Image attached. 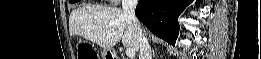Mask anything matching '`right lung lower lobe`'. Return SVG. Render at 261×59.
<instances>
[{"mask_svg": "<svg viewBox=\"0 0 261 59\" xmlns=\"http://www.w3.org/2000/svg\"><path fill=\"white\" fill-rule=\"evenodd\" d=\"M192 0H139L137 18L156 36L175 45L178 16Z\"/></svg>", "mask_w": 261, "mask_h": 59, "instance_id": "98d812e1", "label": "right lung lower lobe"}]
</instances>
